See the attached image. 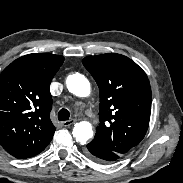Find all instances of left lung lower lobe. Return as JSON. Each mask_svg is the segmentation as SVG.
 I'll return each instance as SVG.
<instances>
[{"instance_id": "0a47b994", "label": "left lung lower lobe", "mask_w": 183, "mask_h": 183, "mask_svg": "<svg viewBox=\"0 0 183 183\" xmlns=\"http://www.w3.org/2000/svg\"><path fill=\"white\" fill-rule=\"evenodd\" d=\"M86 155L92 160L100 163H109L118 160L123 155H120L108 148L98 144L96 141L92 140L85 150Z\"/></svg>"}]
</instances>
